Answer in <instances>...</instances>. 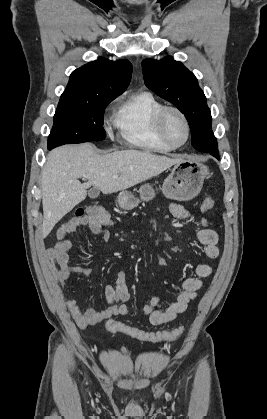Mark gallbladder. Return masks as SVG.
<instances>
[{"label": "gallbladder", "mask_w": 267, "mask_h": 419, "mask_svg": "<svg viewBox=\"0 0 267 419\" xmlns=\"http://www.w3.org/2000/svg\"><path fill=\"white\" fill-rule=\"evenodd\" d=\"M100 191L97 187H93L90 191H89V197L90 198H96L98 197Z\"/></svg>", "instance_id": "bac80fb5"}]
</instances>
